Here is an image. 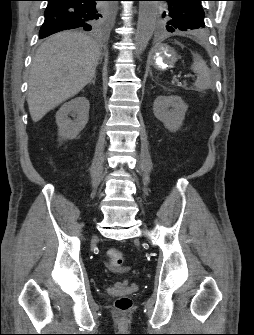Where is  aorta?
Wrapping results in <instances>:
<instances>
[{
	"instance_id": "1",
	"label": "aorta",
	"mask_w": 254,
	"mask_h": 335,
	"mask_svg": "<svg viewBox=\"0 0 254 335\" xmlns=\"http://www.w3.org/2000/svg\"><path fill=\"white\" fill-rule=\"evenodd\" d=\"M158 11L156 1H140L137 31L135 34V55L139 56L146 49L151 39Z\"/></svg>"
}]
</instances>
